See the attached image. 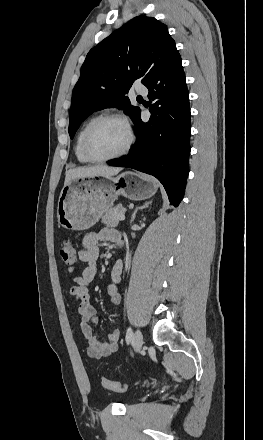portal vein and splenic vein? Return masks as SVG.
I'll use <instances>...</instances> for the list:
<instances>
[{"label": "portal vein and splenic vein", "instance_id": "18ae733b", "mask_svg": "<svg viewBox=\"0 0 263 440\" xmlns=\"http://www.w3.org/2000/svg\"><path fill=\"white\" fill-rule=\"evenodd\" d=\"M119 219H120L121 221L125 220V215H124L123 213L120 214V215H119Z\"/></svg>", "mask_w": 263, "mask_h": 440}]
</instances>
